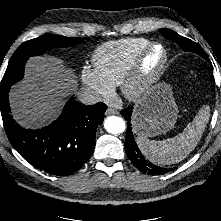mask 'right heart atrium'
Instances as JSON below:
<instances>
[{"mask_svg":"<svg viewBox=\"0 0 221 221\" xmlns=\"http://www.w3.org/2000/svg\"><path fill=\"white\" fill-rule=\"evenodd\" d=\"M81 79L93 96L98 99L107 98L113 92V87L110 86L94 68L84 67L81 71Z\"/></svg>","mask_w":221,"mask_h":221,"instance_id":"1","label":"right heart atrium"}]
</instances>
